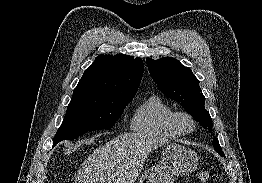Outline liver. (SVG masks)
I'll return each mask as SVG.
<instances>
[{
	"label": "liver",
	"mask_w": 262,
	"mask_h": 183,
	"mask_svg": "<svg viewBox=\"0 0 262 183\" xmlns=\"http://www.w3.org/2000/svg\"><path fill=\"white\" fill-rule=\"evenodd\" d=\"M169 141L144 133H124L97 148L83 162L76 183H134L148 154Z\"/></svg>",
	"instance_id": "obj_1"
}]
</instances>
